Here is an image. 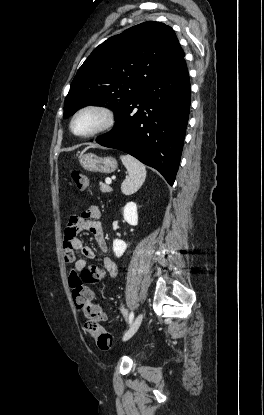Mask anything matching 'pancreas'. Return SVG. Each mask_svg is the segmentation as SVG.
Here are the masks:
<instances>
[{
  "instance_id": "pancreas-1",
  "label": "pancreas",
  "mask_w": 264,
  "mask_h": 415,
  "mask_svg": "<svg viewBox=\"0 0 264 415\" xmlns=\"http://www.w3.org/2000/svg\"><path fill=\"white\" fill-rule=\"evenodd\" d=\"M100 190L101 192L106 193V192H111L112 188L107 184L100 183Z\"/></svg>"
}]
</instances>
